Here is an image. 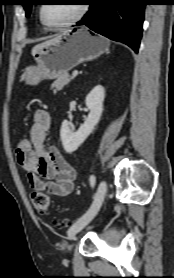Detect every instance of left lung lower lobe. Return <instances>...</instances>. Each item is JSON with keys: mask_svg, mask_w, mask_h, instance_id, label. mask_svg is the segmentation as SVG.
<instances>
[{"mask_svg": "<svg viewBox=\"0 0 174 278\" xmlns=\"http://www.w3.org/2000/svg\"><path fill=\"white\" fill-rule=\"evenodd\" d=\"M89 11L77 22L138 52L146 0H88Z\"/></svg>", "mask_w": 174, "mask_h": 278, "instance_id": "left-lung-lower-lobe-1", "label": "left lung lower lobe"}]
</instances>
